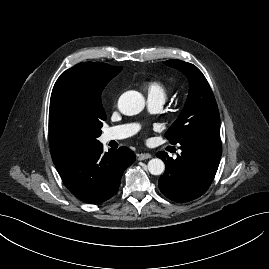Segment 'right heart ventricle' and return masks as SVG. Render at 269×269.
Here are the masks:
<instances>
[{"label":"right heart ventricle","mask_w":269,"mask_h":269,"mask_svg":"<svg viewBox=\"0 0 269 269\" xmlns=\"http://www.w3.org/2000/svg\"><path fill=\"white\" fill-rule=\"evenodd\" d=\"M145 89L149 98L161 97L165 99L167 96V87L160 81H148L145 84Z\"/></svg>","instance_id":"right-heart-ventricle-1"}]
</instances>
